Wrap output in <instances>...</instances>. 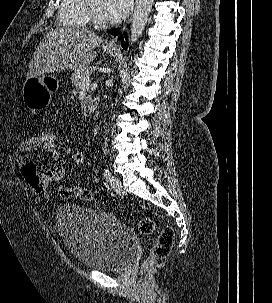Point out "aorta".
Returning <instances> with one entry per match:
<instances>
[{"mask_svg":"<svg viewBox=\"0 0 272 303\" xmlns=\"http://www.w3.org/2000/svg\"><path fill=\"white\" fill-rule=\"evenodd\" d=\"M154 0H136L133 19L130 26L129 44L134 45L141 36L148 21Z\"/></svg>","mask_w":272,"mask_h":303,"instance_id":"1","label":"aorta"}]
</instances>
